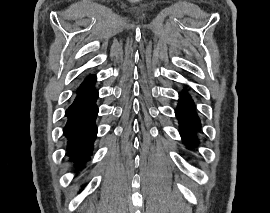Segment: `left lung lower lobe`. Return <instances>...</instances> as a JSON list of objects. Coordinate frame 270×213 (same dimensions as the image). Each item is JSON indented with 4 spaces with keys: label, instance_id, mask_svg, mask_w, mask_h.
<instances>
[{
    "label": "left lung lower lobe",
    "instance_id": "1",
    "mask_svg": "<svg viewBox=\"0 0 270 213\" xmlns=\"http://www.w3.org/2000/svg\"><path fill=\"white\" fill-rule=\"evenodd\" d=\"M176 116L180 124V134L183 141L189 147L198 144L196 131L200 128V120L195 112V106L190 95L183 92L179 96V104L176 109Z\"/></svg>",
    "mask_w": 270,
    "mask_h": 213
}]
</instances>
